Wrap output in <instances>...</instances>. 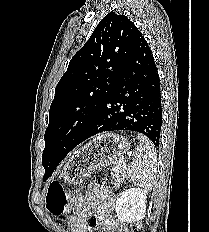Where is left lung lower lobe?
I'll return each instance as SVG.
<instances>
[{"mask_svg": "<svg viewBox=\"0 0 209 232\" xmlns=\"http://www.w3.org/2000/svg\"><path fill=\"white\" fill-rule=\"evenodd\" d=\"M161 125L160 79L152 52L142 36L114 89L77 145L101 132L128 130L146 135L159 147Z\"/></svg>", "mask_w": 209, "mask_h": 232, "instance_id": "0a47b994", "label": "left lung lower lobe"}]
</instances>
